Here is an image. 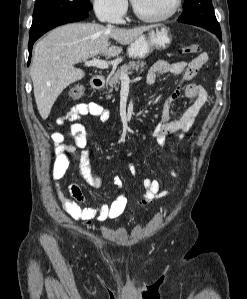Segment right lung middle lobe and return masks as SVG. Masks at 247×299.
<instances>
[{
    "instance_id": "right-lung-middle-lobe-1",
    "label": "right lung middle lobe",
    "mask_w": 247,
    "mask_h": 299,
    "mask_svg": "<svg viewBox=\"0 0 247 299\" xmlns=\"http://www.w3.org/2000/svg\"><path fill=\"white\" fill-rule=\"evenodd\" d=\"M92 8L89 0H36L30 34L63 15Z\"/></svg>"
}]
</instances>
